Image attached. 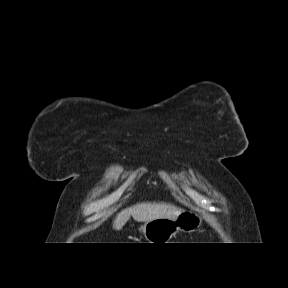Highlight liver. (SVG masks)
<instances>
[{"label":"liver","mask_w":288,"mask_h":288,"mask_svg":"<svg viewBox=\"0 0 288 288\" xmlns=\"http://www.w3.org/2000/svg\"><path fill=\"white\" fill-rule=\"evenodd\" d=\"M181 212V208L170 203H138L118 213L113 222V228L115 230H121L131 216L137 222H147L156 218H175Z\"/></svg>","instance_id":"obj_1"}]
</instances>
